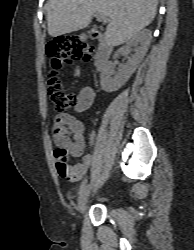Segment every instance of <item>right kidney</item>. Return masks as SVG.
I'll return each instance as SVG.
<instances>
[{
	"label": "right kidney",
	"instance_id": "obj_1",
	"mask_svg": "<svg viewBox=\"0 0 194 250\" xmlns=\"http://www.w3.org/2000/svg\"><path fill=\"white\" fill-rule=\"evenodd\" d=\"M150 39L151 33L149 31L139 32L129 39L124 47L115 52L113 59L117 58L119 54L131 50L132 47H137L135 54L128 58L127 63L122 67L119 73L114 74L112 62L105 66L100 77V85L104 91H117L128 81L146 55Z\"/></svg>",
	"mask_w": 194,
	"mask_h": 250
}]
</instances>
